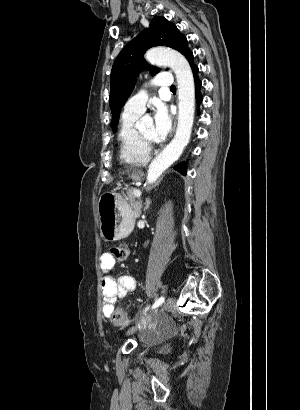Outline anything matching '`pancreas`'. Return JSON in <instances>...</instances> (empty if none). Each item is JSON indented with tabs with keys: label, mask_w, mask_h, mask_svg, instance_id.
<instances>
[{
	"label": "pancreas",
	"mask_w": 300,
	"mask_h": 410,
	"mask_svg": "<svg viewBox=\"0 0 300 410\" xmlns=\"http://www.w3.org/2000/svg\"><path fill=\"white\" fill-rule=\"evenodd\" d=\"M134 190L135 189H131L127 192V200L132 205L135 216L139 217L141 214V201L132 194Z\"/></svg>",
	"instance_id": "cf45deb5"
}]
</instances>
